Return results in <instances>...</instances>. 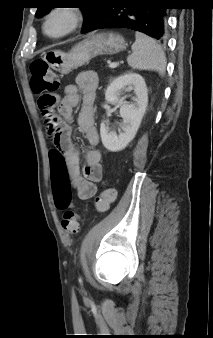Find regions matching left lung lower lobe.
<instances>
[{
	"label": "left lung lower lobe",
	"instance_id": "obj_1",
	"mask_svg": "<svg viewBox=\"0 0 213 338\" xmlns=\"http://www.w3.org/2000/svg\"><path fill=\"white\" fill-rule=\"evenodd\" d=\"M165 9L158 0H103L100 11L82 32L121 27L143 32L164 42L167 36Z\"/></svg>",
	"mask_w": 213,
	"mask_h": 338
}]
</instances>
